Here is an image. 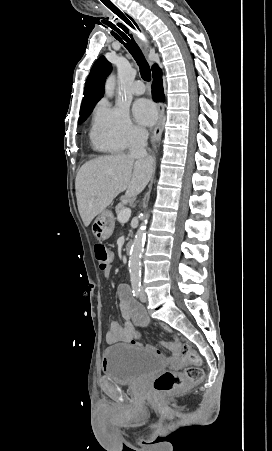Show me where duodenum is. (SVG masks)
Returning a JSON list of instances; mask_svg holds the SVG:
<instances>
[{"instance_id": "1", "label": "duodenum", "mask_w": 272, "mask_h": 451, "mask_svg": "<svg viewBox=\"0 0 272 451\" xmlns=\"http://www.w3.org/2000/svg\"><path fill=\"white\" fill-rule=\"evenodd\" d=\"M125 249H126V253L129 254L131 252V250H132V243H130V242L127 243Z\"/></svg>"}]
</instances>
